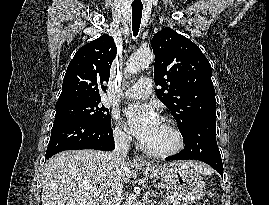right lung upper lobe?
<instances>
[{"instance_id": "right-lung-upper-lobe-1", "label": "right lung upper lobe", "mask_w": 269, "mask_h": 205, "mask_svg": "<svg viewBox=\"0 0 269 205\" xmlns=\"http://www.w3.org/2000/svg\"><path fill=\"white\" fill-rule=\"evenodd\" d=\"M116 53L114 39L108 34L81 47L67 67L56 107L101 100Z\"/></svg>"}]
</instances>
